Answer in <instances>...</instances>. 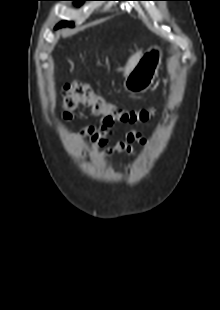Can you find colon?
<instances>
[{"instance_id":"5ec220e1","label":"colon","mask_w":220,"mask_h":310,"mask_svg":"<svg viewBox=\"0 0 220 310\" xmlns=\"http://www.w3.org/2000/svg\"><path fill=\"white\" fill-rule=\"evenodd\" d=\"M63 117L73 119V112L79 105H84L102 117V124L111 127L115 124H136L147 121L152 116L149 109H124L109 102L95 92L92 86L82 82L66 84L62 89Z\"/></svg>"}]
</instances>
